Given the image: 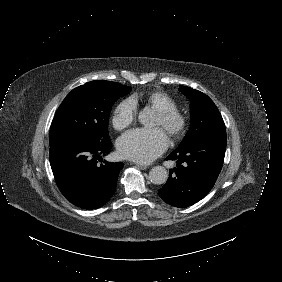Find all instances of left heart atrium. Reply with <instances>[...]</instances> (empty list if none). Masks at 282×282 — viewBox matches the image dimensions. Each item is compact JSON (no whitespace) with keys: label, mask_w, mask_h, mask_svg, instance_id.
I'll return each instance as SVG.
<instances>
[{"label":"left heart atrium","mask_w":282,"mask_h":282,"mask_svg":"<svg viewBox=\"0 0 282 282\" xmlns=\"http://www.w3.org/2000/svg\"><path fill=\"white\" fill-rule=\"evenodd\" d=\"M166 145V137L160 129H137L119 139L118 150L124 158L149 163L165 150Z\"/></svg>","instance_id":"left-heart-atrium-1"}]
</instances>
